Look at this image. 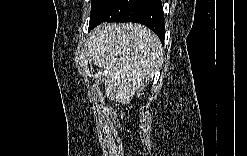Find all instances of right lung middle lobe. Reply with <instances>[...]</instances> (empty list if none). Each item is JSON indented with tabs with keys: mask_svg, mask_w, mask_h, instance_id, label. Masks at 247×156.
I'll list each match as a JSON object with an SVG mask.
<instances>
[{
	"mask_svg": "<svg viewBox=\"0 0 247 156\" xmlns=\"http://www.w3.org/2000/svg\"><path fill=\"white\" fill-rule=\"evenodd\" d=\"M110 1L111 0H92L90 23L98 17Z\"/></svg>",
	"mask_w": 247,
	"mask_h": 156,
	"instance_id": "dd1d6c3e",
	"label": "right lung middle lobe"
}]
</instances>
